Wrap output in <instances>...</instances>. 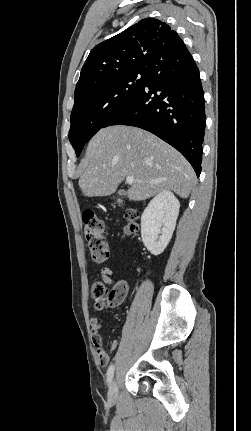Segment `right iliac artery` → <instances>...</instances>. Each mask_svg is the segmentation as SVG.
Segmentation results:
<instances>
[{
    "label": "right iliac artery",
    "instance_id": "82829eb1",
    "mask_svg": "<svg viewBox=\"0 0 251 431\" xmlns=\"http://www.w3.org/2000/svg\"><path fill=\"white\" fill-rule=\"evenodd\" d=\"M113 375H114V365L111 364L108 368V371H107V383L108 384L111 383Z\"/></svg>",
    "mask_w": 251,
    "mask_h": 431
}]
</instances>
